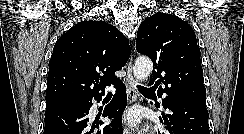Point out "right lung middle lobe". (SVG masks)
Listing matches in <instances>:
<instances>
[{"label": "right lung middle lobe", "instance_id": "1", "mask_svg": "<svg viewBox=\"0 0 244 134\" xmlns=\"http://www.w3.org/2000/svg\"><path fill=\"white\" fill-rule=\"evenodd\" d=\"M77 100H80V99L64 97V98H58V99H53V100L46 101V112L49 111V110H52L54 108L61 107V106H64L66 104L75 102Z\"/></svg>", "mask_w": 244, "mask_h": 134}]
</instances>
